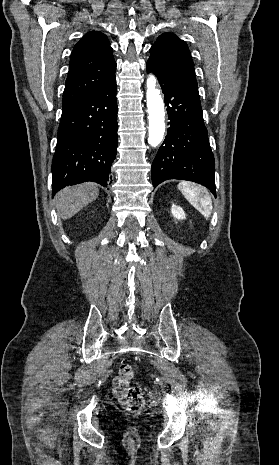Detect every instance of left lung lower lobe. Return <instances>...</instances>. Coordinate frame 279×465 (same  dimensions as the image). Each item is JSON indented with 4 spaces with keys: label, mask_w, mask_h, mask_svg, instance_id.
Returning <instances> with one entry per match:
<instances>
[{
    "label": "left lung lower lobe",
    "mask_w": 279,
    "mask_h": 465,
    "mask_svg": "<svg viewBox=\"0 0 279 465\" xmlns=\"http://www.w3.org/2000/svg\"><path fill=\"white\" fill-rule=\"evenodd\" d=\"M146 68L158 77L170 119L167 136L152 164L153 186L168 179L189 180L216 195L214 156L203 123L197 82L153 60L148 59Z\"/></svg>",
    "instance_id": "obj_1"
}]
</instances>
